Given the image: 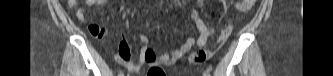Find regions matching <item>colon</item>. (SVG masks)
<instances>
[{"instance_id": "1", "label": "colon", "mask_w": 333, "mask_h": 76, "mask_svg": "<svg viewBox=\"0 0 333 76\" xmlns=\"http://www.w3.org/2000/svg\"><path fill=\"white\" fill-rule=\"evenodd\" d=\"M254 0H242L237 2V7L240 11H248L252 8L254 5ZM231 34L230 28L224 29L218 39V44H223L226 42V40L229 38ZM211 56V53L207 50H198L191 56V61L195 64H202L205 61L208 60V58Z\"/></svg>"}]
</instances>
